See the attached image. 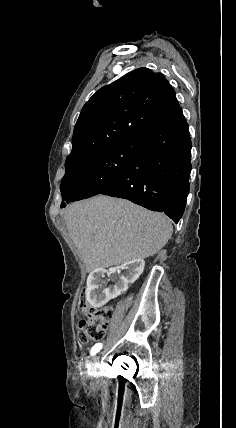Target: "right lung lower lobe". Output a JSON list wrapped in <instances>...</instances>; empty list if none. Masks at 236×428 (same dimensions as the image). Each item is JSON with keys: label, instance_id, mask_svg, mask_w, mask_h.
Masks as SVG:
<instances>
[{"label": "right lung lower lobe", "instance_id": "98d812e1", "mask_svg": "<svg viewBox=\"0 0 236 428\" xmlns=\"http://www.w3.org/2000/svg\"><path fill=\"white\" fill-rule=\"evenodd\" d=\"M136 140L135 157L97 194L128 199L152 211L164 212L178 223L189 193L192 147L182 109Z\"/></svg>", "mask_w": 236, "mask_h": 428}]
</instances>
